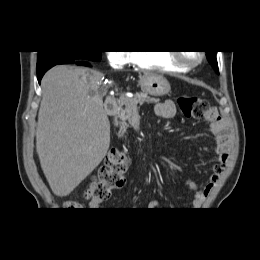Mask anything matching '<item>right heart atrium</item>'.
I'll return each instance as SVG.
<instances>
[{"label": "right heart atrium", "mask_w": 260, "mask_h": 260, "mask_svg": "<svg viewBox=\"0 0 260 260\" xmlns=\"http://www.w3.org/2000/svg\"><path fill=\"white\" fill-rule=\"evenodd\" d=\"M107 58L110 65L117 69L132 63V54L127 51H109Z\"/></svg>", "instance_id": "1"}]
</instances>
